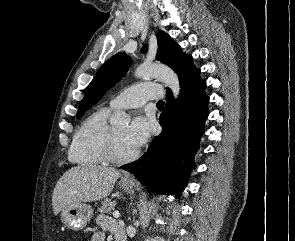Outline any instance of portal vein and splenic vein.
Listing matches in <instances>:
<instances>
[{
  "label": "portal vein and splenic vein",
  "mask_w": 295,
  "mask_h": 241,
  "mask_svg": "<svg viewBox=\"0 0 295 241\" xmlns=\"http://www.w3.org/2000/svg\"><path fill=\"white\" fill-rule=\"evenodd\" d=\"M113 216H114L115 218H119V217H120V213H119L118 211H115V212L113 213Z\"/></svg>",
  "instance_id": "obj_1"
}]
</instances>
